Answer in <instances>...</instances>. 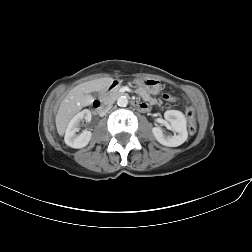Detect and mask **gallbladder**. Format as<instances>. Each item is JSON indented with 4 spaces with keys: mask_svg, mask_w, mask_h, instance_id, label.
Listing matches in <instances>:
<instances>
[{
    "mask_svg": "<svg viewBox=\"0 0 252 252\" xmlns=\"http://www.w3.org/2000/svg\"><path fill=\"white\" fill-rule=\"evenodd\" d=\"M94 96H97V93H94Z\"/></svg>",
    "mask_w": 252,
    "mask_h": 252,
    "instance_id": "gallbladder-1",
    "label": "gallbladder"
}]
</instances>
